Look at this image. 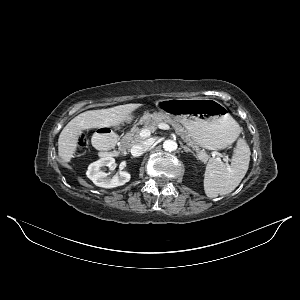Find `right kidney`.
<instances>
[{
    "instance_id": "1",
    "label": "right kidney",
    "mask_w": 300,
    "mask_h": 300,
    "mask_svg": "<svg viewBox=\"0 0 300 300\" xmlns=\"http://www.w3.org/2000/svg\"><path fill=\"white\" fill-rule=\"evenodd\" d=\"M115 164V159L112 157H102L99 160L91 163L86 172L87 177L96 185L103 188H114L127 183L131 175L128 171L122 170L115 176L108 177L107 173L101 171L104 166H112Z\"/></svg>"
}]
</instances>
